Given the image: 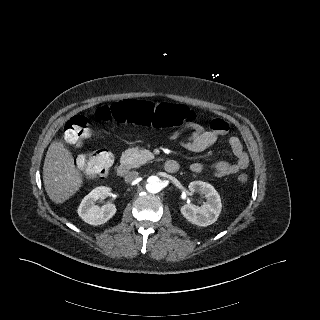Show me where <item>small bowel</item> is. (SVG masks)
I'll return each instance as SVG.
<instances>
[{"label":"small bowel","mask_w":320,"mask_h":320,"mask_svg":"<svg viewBox=\"0 0 320 320\" xmlns=\"http://www.w3.org/2000/svg\"><path fill=\"white\" fill-rule=\"evenodd\" d=\"M210 127V130H206L200 123L189 121L181 131L171 134V138L177 139L184 131H190L189 135L181 141V146L187 151L200 153L216 143L228 131V124L223 119H213L210 122ZM228 144L236 160L234 162L220 160L213 163L211 169L217 177L236 174L248 167L249 158L240 139L236 136H229ZM204 169L205 165L200 162H194L190 165V170L194 173H200Z\"/></svg>","instance_id":"1"}]
</instances>
